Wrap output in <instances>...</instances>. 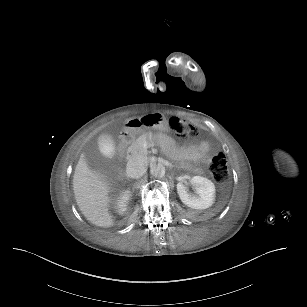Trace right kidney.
Listing matches in <instances>:
<instances>
[{"label": "right kidney", "mask_w": 307, "mask_h": 307, "mask_svg": "<svg viewBox=\"0 0 307 307\" xmlns=\"http://www.w3.org/2000/svg\"><path fill=\"white\" fill-rule=\"evenodd\" d=\"M130 198V191L127 190L122 193V195L118 198L116 201V210L119 214H122L123 212L126 211V206L128 204Z\"/></svg>", "instance_id": "1"}]
</instances>
